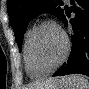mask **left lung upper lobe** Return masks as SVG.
<instances>
[{
	"label": "left lung upper lobe",
	"instance_id": "1",
	"mask_svg": "<svg viewBox=\"0 0 89 89\" xmlns=\"http://www.w3.org/2000/svg\"><path fill=\"white\" fill-rule=\"evenodd\" d=\"M60 0H8L7 9L15 39L21 50L24 33L29 21L41 13H50L62 20L64 11Z\"/></svg>",
	"mask_w": 89,
	"mask_h": 89
}]
</instances>
